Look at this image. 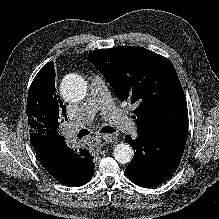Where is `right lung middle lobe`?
<instances>
[{
  "instance_id": "1",
  "label": "right lung middle lobe",
  "mask_w": 219,
  "mask_h": 219,
  "mask_svg": "<svg viewBox=\"0 0 219 219\" xmlns=\"http://www.w3.org/2000/svg\"><path fill=\"white\" fill-rule=\"evenodd\" d=\"M39 86L32 85L28 91V102L26 114L30 130L42 132L46 135L64 138L59 135V125L62 123L61 107L57 101H47L42 97H37Z\"/></svg>"
}]
</instances>
